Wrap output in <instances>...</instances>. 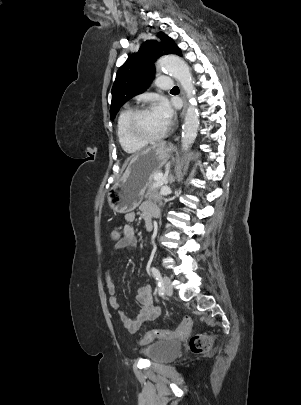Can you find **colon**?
I'll list each match as a JSON object with an SVG mask.
<instances>
[{"label": "colon", "mask_w": 301, "mask_h": 405, "mask_svg": "<svg viewBox=\"0 0 301 405\" xmlns=\"http://www.w3.org/2000/svg\"><path fill=\"white\" fill-rule=\"evenodd\" d=\"M110 239L113 243L118 241L119 230L116 224L111 226ZM192 321L186 317L180 326L175 330L152 329L149 330L140 340L139 344H147L154 339H173L186 336L191 329ZM214 341V336L208 334H197L190 338V350L195 354L207 352Z\"/></svg>", "instance_id": "colon-1"}]
</instances>
